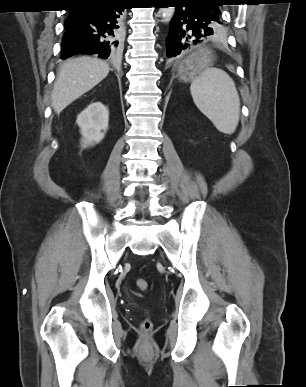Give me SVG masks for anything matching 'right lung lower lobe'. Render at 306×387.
<instances>
[{
    "label": "right lung lower lobe",
    "mask_w": 306,
    "mask_h": 387,
    "mask_svg": "<svg viewBox=\"0 0 306 387\" xmlns=\"http://www.w3.org/2000/svg\"><path fill=\"white\" fill-rule=\"evenodd\" d=\"M124 0H108L70 10L72 25L65 26L61 59L75 54H97L103 59L118 55L122 43Z\"/></svg>",
    "instance_id": "obj_1"
}]
</instances>
